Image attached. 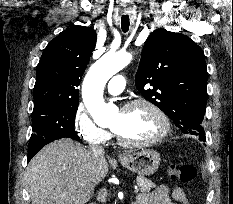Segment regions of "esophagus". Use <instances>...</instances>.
Wrapping results in <instances>:
<instances>
[{
  "label": "esophagus",
  "instance_id": "esophagus-1",
  "mask_svg": "<svg viewBox=\"0 0 233 204\" xmlns=\"http://www.w3.org/2000/svg\"><path fill=\"white\" fill-rule=\"evenodd\" d=\"M124 13H125V14H127V13H128V11H124Z\"/></svg>",
  "mask_w": 233,
  "mask_h": 204
}]
</instances>
